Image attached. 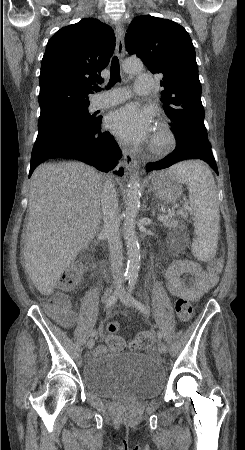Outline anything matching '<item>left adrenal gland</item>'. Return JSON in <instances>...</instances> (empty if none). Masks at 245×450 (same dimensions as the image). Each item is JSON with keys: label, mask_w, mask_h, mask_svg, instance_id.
<instances>
[{"label": "left adrenal gland", "mask_w": 245, "mask_h": 450, "mask_svg": "<svg viewBox=\"0 0 245 450\" xmlns=\"http://www.w3.org/2000/svg\"><path fill=\"white\" fill-rule=\"evenodd\" d=\"M154 213H155V212H154V210H153V211H152V214L154 215Z\"/></svg>", "instance_id": "1"}]
</instances>
